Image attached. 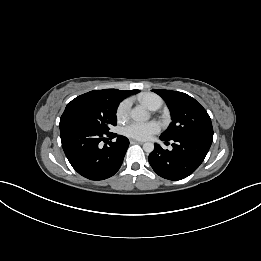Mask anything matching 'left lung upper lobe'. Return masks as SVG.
I'll use <instances>...</instances> for the list:
<instances>
[{
    "label": "left lung upper lobe",
    "mask_w": 261,
    "mask_h": 261,
    "mask_svg": "<svg viewBox=\"0 0 261 261\" xmlns=\"http://www.w3.org/2000/svg\"><path fill=\"white\" fill-rule=\"evenodd\" d=\"M166 102L172 122L161 134L166 140L196 136L213 138V127L207 111L191 96L171 90H152Z\"/></svg>",
    "instance_id": "1"
}]
</instances>
